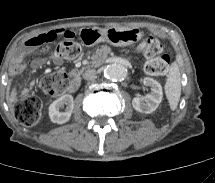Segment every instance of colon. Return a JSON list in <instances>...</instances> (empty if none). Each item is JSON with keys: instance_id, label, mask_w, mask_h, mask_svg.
<instances>
[{"instance_id": "1", "label": "colon", "mask_w": 215, "mask_h": 183, "mask_svg": "<svg viewBox=\"0 0 215 183\" xmlns=\"http://www.w3.org/2000/svg\"><path fill=\"white\" fill-rule=\"evenodd\" d=\"M72 31L66 32L56 45L55 53L63 59L76 58L81 53V47L74 39ZM41 43H36L40 47ZM136 50L143 53L149 60L145 65V71L150 75H162L168 71L170 56L162 53L163 48L160 40L155 36H148L142 40ZM42 91L50 96H58L64 93L68 87V78L62 73H53L45 76L41 82ZM16 120L27 127L36 125L42 115V102L34 96L28 95L16 101L13 108Z\"/></svg>"}]
</instances>
